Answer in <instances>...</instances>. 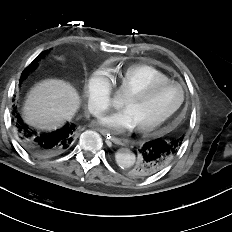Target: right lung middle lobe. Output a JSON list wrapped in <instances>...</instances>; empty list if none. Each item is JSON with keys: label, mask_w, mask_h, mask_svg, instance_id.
Here are the masks:
<instances>
[{"label": "right lung middle lobe", "mask_w": 232, "mask_h": 232, "mask_svg": "<svg viewBox=\"0 0 232 232\" xmlns=\"http://www.w3.org/2000/svg\"><path fill=\"white\" fill-rule=\"evenodd\" d=\"M46 54V51L42 52L39 56H37L32 63L23 71V73L21 74V79L19 81V83L21 84L26 78L27 76L36 69V67L38 66V62L40 61L41 58H43V56Z\"/></svg>", "instance_id": "obj_1"}]
</instances>
